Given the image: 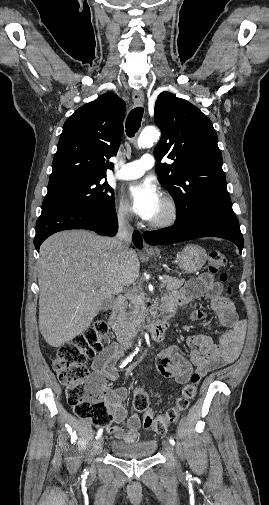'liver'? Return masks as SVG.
<instances>
[{
  "label": "liver",
  "instance_id": "1",
  "mask_svg": "<svg viewBox=\"0 0 269 505\" xmlns=\"http://www.w3.org/2000/svg\"><path fill=\"white\" fill-rule=\"evenodd\" d=\"M135 250L117 238L86 230L56 233L40 247L39 329L52 347L71 341L91 324L107 301L135 282Z\"/></svg>",
  "mask_w": 269,
  "mask_h": 505
}]
</instances>
